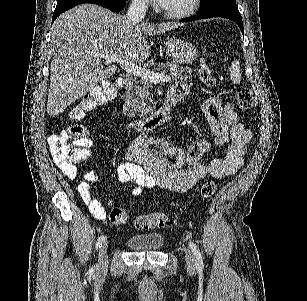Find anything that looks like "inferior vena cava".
<instances>
[{
	"label": "inferior vena cava",
	"instance_id": "inferior-vena-cava-1",
	"mask_svg": "<svg viewBox=\"0 0 307 301\" xmlns=\"http://www.w3.org/2000/svg\"><path fill=\"white\" fill-rule=\"evenodd\" d=\"M147 8V0H132L126 16L135 24V22H140V20H143Z\"/></svg>",
	"mask_w": 307,
	"mask_h": 301
}]
</instances>
